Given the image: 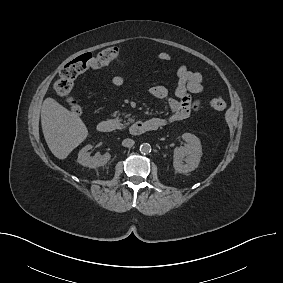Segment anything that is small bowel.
<instances>
[{
    "instance_id": "obj_1",
    "label": "small bowel",
    "mask_w": 283,
    "mask_h": 283,
    "mask_svg": "<svg viewBox=\"0 0 283 283\" xmlns=\"http://www.w3.org/2000/svg\"><path fill=\"white\" fill-rule=\"evenodd\" d=\"M171 57V54L168 52H160L157 55L158 60L162 62L171 60ZM176 76L177 86L173 95L163 85H156L149 89L152 97L166 100L171 110V114L168 117L155 118L159 121L160 126L182 121L199 109V101L194 100L191 94H200L204 91L202 75L182 65L177 69ZM124 82L125 76L118 72L117 66L113 67L111 70L110 87L112 89L118 88Z\"/></svg>"
}]
</instances>
